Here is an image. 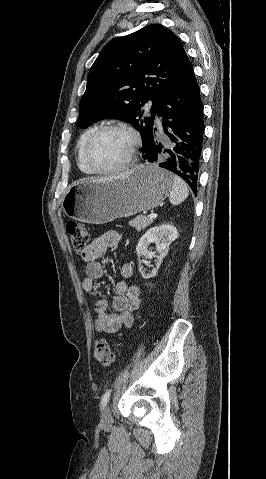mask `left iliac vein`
<instances>
[{
  "mask_svg": "<svg viewBox=\"0 0 266 479\" xmlns=\"http://www.w3.org/2000/svg\"><path fill=\"white\" fill-rule=\"evenodd\" d=\"M113 423L112 415L109 406H105L101 415V424L104 427H110Z\"/></svg>",
  "mask_w": 266,
  "mask_h": 479,
  "instance_id": "obj_1",
  "label": "left iliac vein"
}]
</instances>
